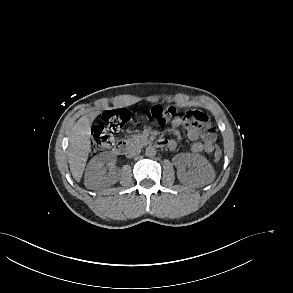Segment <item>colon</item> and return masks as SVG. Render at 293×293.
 <instances>
[{
  "label": "colon",
  "instance_id": "5ec220e1",
  "mask_svg": "<svg viewBox=\"0 0 293 293\" xmlns=\"http://www.w3.org/2000/svg\"><path fill=\"white\" fill-rule=\"evenodd\" d=\"M176 114V109L172 106L155 105L147 111V118L158 125L165 124ZM198 117L196 111H189L185 114L187 123L192 122ZM128 119V112L124 109L109 110L102 116V123L92 128L91 150L99 152L112 146L114 135L123 123ZM222 156L219 146L215 148L214 160L218 161Z\"/></svg>",
  "mask_w": 293,
  "mask_h": 293
}]
</instances>
